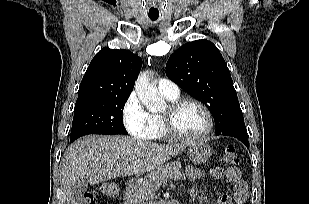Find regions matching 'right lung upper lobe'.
Segmentation results:
<instances>
[{
  "instance_id": "cb5924a9",
  "label": "right lung upper lobe",
  "mask_w": 309,
  "mask_h": 204,
  "mask_svg": "<svg viewBox=\"0 0 309 204\" xmlns=\"http://www.w3.org/2000/svg\"><path fill=\"white\" fill-rule=\"evenodd\" d=\"M142 59L124 49H101L92 59L79 88L76 103L109 96H129Z\"/></svg>"
}]
</instances>
